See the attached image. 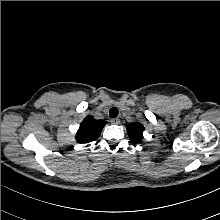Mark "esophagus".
I'll return each mask as SVG.
<instances>
[{
    "instance_id": "1",
    "label": "esophagus",
    "mask_w": 220,
    "mask_h": 220,
    "mask_svg": "<svg viewBox=\"0 0 220 220\" xmlns=\"http://www.w3.org/2000/svg\"><path fill=\"white\" fill-rule=\"evenodd\" d=\"M110 122H111L112 124H114V125H117V124L120 123V119H119V118H113V119H111Z\"/></svg>"
}]
</instances>
